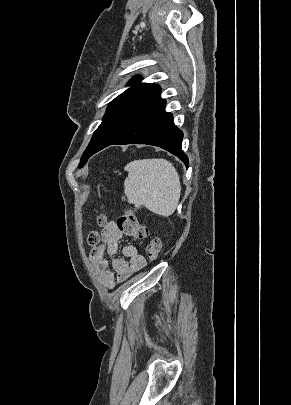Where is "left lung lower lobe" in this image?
Masks as SVG:
<instances>
[{
  "label": "left lung lower lobe",
  "instance_id": "left-lung-lower-lobe-1",
  "mask_svg": "<svg viewBox=\"0 0 291 405\" xmlns=\"http://www.w3.org/2000/svg\"><path fill=\"white\" fill-rule=\"evenodd\" d=\"M160 90L154 85L147 92L127 128L110 145L158 146L177 156L188 168V157L182 151L183 133L174 125L172 114L165 111L166 101L160 97Z\"/></svg>",
  "mask_w": 291,
  "mask_h": 405
}]
</instances>
